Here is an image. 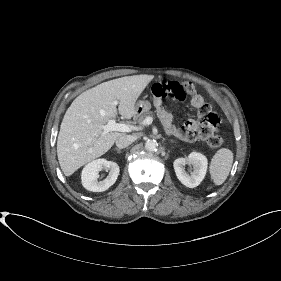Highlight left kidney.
I'll use <instances>...</instances> for the list:
<instances>
[{
  "label": "left kidney",
  "instance_id": "1",
  "mask_svg": "<svg viewBox=\"0 0 281 281\" xmlns=\"http://www.w3.org/2000/svg\"><path fill=\"white\" fill-rule=\"evenodd\" d=\"M191 164L193 171L191 174L185 170V165ZM207 158L198 152H192L187 158H178L174 161L173 166L179 181L189 188L198 186L204 179L207 171Z\"/></svg>",
  "mask_w": 281,
  "mask_h": 281
}]
</instances>
